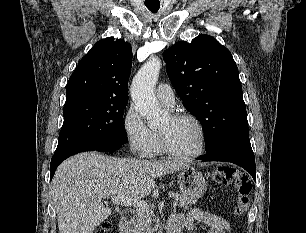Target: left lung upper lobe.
<instances>
[{
  "label": "left lung upper lobe",
  "mask_w": 306,
  "mask_h": 233,
  "mask_svg": "<svg viewBox=\"0 0 306 233\" xmlns=\"http://www.w3.org/2000/svg\"><path fill=\"white\" fill-rule=\"evenodd\" d=\"M167 73L184 107L203 125L206 152L249 138L238 68L231 52L209 35L180 41L163 53Z\"/></svg>",
  "instance_id": "1"
}]
</instances>
